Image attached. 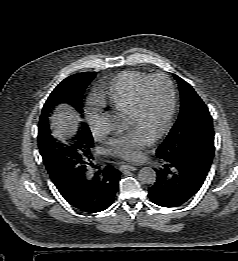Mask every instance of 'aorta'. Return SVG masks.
<instances>
[{"label": "aorta", "mask_w": 238, "mask_h": 261, "mask_svg": "<svg viewBox=\"0 0 238 261\" xmlns=\"http://www.w3.org/2000/svg\"><path fill=\"white\" fill-rule=\"evenodd\" d=\"M128 127L127 120L119 115L109 114L105 118L104 128L107 132H122ZM138 178L143 184H153L156 181V172L151 167H143Z\"/></svg>", "instance_id": "762f6f07"}]
</instances>
